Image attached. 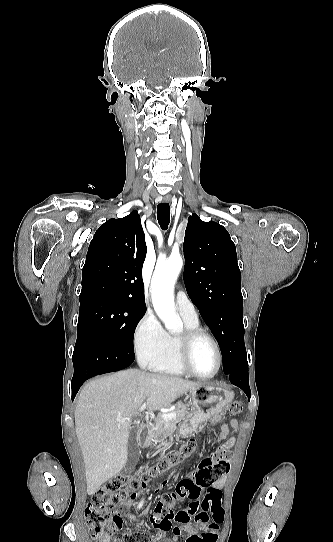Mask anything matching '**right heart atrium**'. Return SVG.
<instances>
[{
  "instance_id": "right-heart-atrium-1",
  "label": "right heart atrium",
  "mask_w": 333,
  "mask_h": 542,
  "mask_svg": "<svg viewBox=\"0 0 333 542\" xmlns=\"http://www.w3.org/2000/svg\"><path fill=\"white\" fill-rule=\"evenodd\" d=\"M166 331L157 316L147 312L137 323L134 330L135 351L140 356L148 351L163 346Z\"/></svg>"
}]
</instances>
